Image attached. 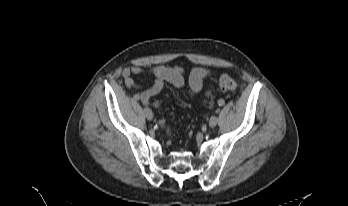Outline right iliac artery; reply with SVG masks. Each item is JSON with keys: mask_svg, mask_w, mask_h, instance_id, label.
<instances>
[{"mask_svg": "<svg viewBox=\"0 0 348 206\" xmlns=\"http://www.w3.org/2000/svg\"><path fill=\"white\" fill-rule=\"evenodd\" d=\"M134 100H139V95H134Z\"/></svg>", "mask_w": 348, "mask_h": 206, "instance_id": "82829eb1", "label": "right iliac artery"}]
</instances>
